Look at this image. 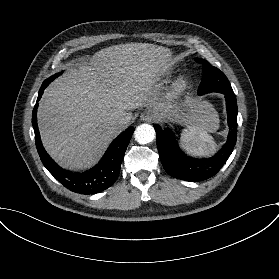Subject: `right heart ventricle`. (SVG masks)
I'll list each match as a JSON object with an SVG mask.
<instances>
[{
	"instance_id": "e07e8e85",
	"label": "right heart ventricle",
	"mask_w": 279,
	"mask_h": 279,
	"mask_svg": "<svg viewBox=\"0 0 279 279\" xmlns=\"http://www.w3.org/2000/svg\"><path fill=\"white\" fill-rule=\"evenodd\" d=\"M173 76H174V73L173 72H171V71H166V72H163L161 75H160V79L163 81V82H165V83H167V82H170L171 81V79L173 78Z\"/></svg>"
}]
</instances>
